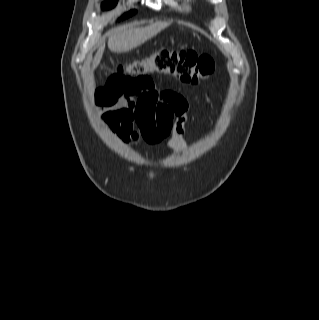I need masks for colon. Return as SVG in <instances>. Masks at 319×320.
<instances>
[{
    "label": "colon",
    "instance_id": "obj_1",
    "mask_svg": "<svg viewBox=\"0 0 319 320\" xmlns=\"http://www.w3.org/2000/svg\"><path fill=\"white\" fill-rule=\"evenodd\" d=\"M215 70L213 60L193 51L160 49L151 55L119 65L110 77L109 85L127 88L139 85L152 75L173 76L184 83L196 84L207 78ZM125 132L129 139H141L147 143H160L171 133L170 125H163L153 114H134L126 123Z\"/></svg>",
    "mask_w": 319,
    "mask_h": 320
}]
</instances>
